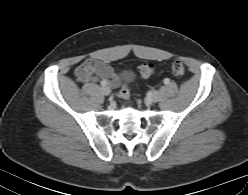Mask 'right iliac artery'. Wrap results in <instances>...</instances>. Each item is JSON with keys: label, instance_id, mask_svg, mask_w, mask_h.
<instances>
[{"label": "right iliac artery", "instance_id": "1", "mask_svg": "<svg viewBox=\"0 0 248 195\" xmlns=\"http://www.w3.org/2000/svg\"><path fill=\"white\" fill-rule=\"evenodd\" d=\"M106 84H107V83H106L105 81H102V82H101V85H102V86H106Z\"/></svg>", "mask_w": 248, "mask_h": 195}]
</instances>
